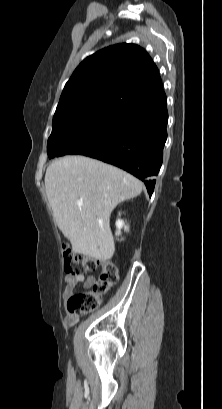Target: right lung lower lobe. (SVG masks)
<instances>
[{
    "label": "right lung lower lobe",
    "mask_w": 222,
    "mask_h": 409,
    "mask_svg": "<svg viewBox=\"0 0 222 409\" xmlns=\"http://www.w3.org/2000/svg\"><path fill=\"white\" fill-rule=\"evenodd\" d=\"M166 95L122 105L101 145L86 156L120 167L142 180L151 196L167 139Z\"/></svg>",
    "instance_id": "obj_1"
}]
</instances>
